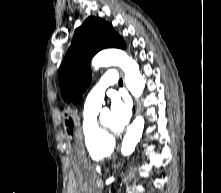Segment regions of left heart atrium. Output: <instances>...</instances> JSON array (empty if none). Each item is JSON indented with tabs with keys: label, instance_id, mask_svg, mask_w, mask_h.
<instances>
[{
	"label": "left heart atrium",
	"instance_id": "1",
	"mask_svg": "<svg viewBox=\"0 0 221 193\" xmlns=\"http://www.w3.org/2000/svg\"><path fill=\"white\" fill-rule=\"evenodd\" d=\"M111 115L115 129L120 131L125 128L131 117V105L127 99L118 96L112 98Z\"/></svg>",
	"mask_w": 221,
	"mask_h": 193
}]
</instances>
